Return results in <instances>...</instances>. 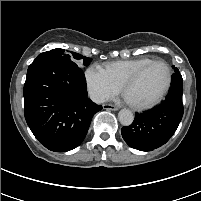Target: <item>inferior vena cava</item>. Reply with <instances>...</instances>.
Here are the masks:
<instances>
[{"label":"inferior vena cava","mask_w":201,"mask_h":201,"mask_svg":"<svg viewBox=\"0 0 201 201\" xmlns=\"http://www.w3.org/2000/svg\"><path fill=\"white\" fill-rule=\"evenodd\" d=\"M90 99L97 104L104 103L108 100L106 95L95 92L90 94Z\"/></svg>","instance_id":"obj_1"}]
</instances>
